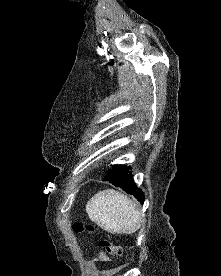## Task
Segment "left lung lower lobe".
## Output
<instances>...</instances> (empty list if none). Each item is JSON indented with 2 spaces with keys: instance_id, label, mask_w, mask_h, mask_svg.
I'll return each mask as SVG.
<instances>
[{
  "instance_id": "obj_1",
  "label": "left lung lower lobe",
  "mask_w": 221,
  "mask_h": 276,
  "mask_svg": "<svg viewBox=\"0 0 221 276\" xmlns=\"http://www.w3.org/2000/svg\"><path fill=\"white\" fill-rule=\"evenodd\" d=\"M130 169V167L124 165H112L104 180L109 181L116 187L122 188L127 193L133 195L139 202L143 203L144 194L134 183L133 176L129 171Z\"/></svg>"
}]
</instances>
